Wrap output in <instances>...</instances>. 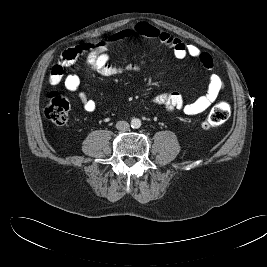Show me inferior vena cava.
Returning a JSON list of instances; mask_svg holds the SVG:
<instances>
[{
  "label": "inferior vena cava",
  "instance_id": "inferior-vena-cava-1",
  "mask_svg": "<svg viewBox=\"0 0 267 267\" xmlns=\"http://www.w3.org/2000/svg\"><path fill=\"white\" fill-rule=\"evenodd\" d=\"M116 128L120 131H128L130 128V125L127 121H118L116 123Z\"/></svg>",
  "mask_w": 267,
  "mask_h": 267
}]
</instances>
